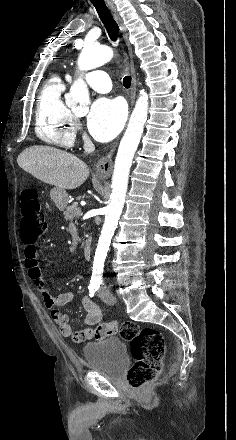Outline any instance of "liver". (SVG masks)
Listing matches in <instances>:
<instances>
[{"label": "liver", "mask_w": 236, "mask_h": 440, "mask_svg": "<svg viewBox=\"0 0 236 440\" xmlns=\"http://www.w3.org/2000/svg\"><path fill=\"white\" fill-rule=\"evenodd\" d=\"M20 168L58 189H76L89 176L88 166L75 155L50 146L26 148L17 158Z\"/></svg>", "instance_id": "6515ba94"}]
</instances>
